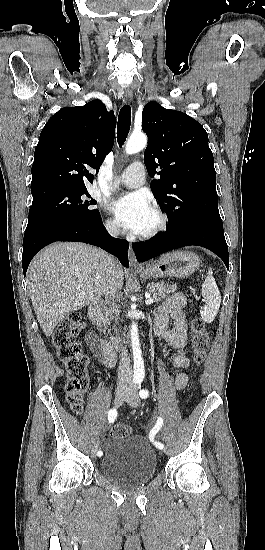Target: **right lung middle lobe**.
Wrapping results in <instances>:
<instances>
[{"label":"right lung middle lobe","mask_w":265,"mask_h":550,"mask_svg":"<svg viewBox=\"0 0 265 550\" xmlns=\"http://www.w3.org/2000/svg\"><path fill=\"white\" fill-rule=\"evenodd\" d=\"M33 196L27 230L63 220H95L100 217L87 189L45 186L31 189Z\"/></svg>","instance_id":"1"}]
</instances>
